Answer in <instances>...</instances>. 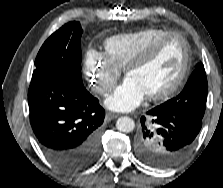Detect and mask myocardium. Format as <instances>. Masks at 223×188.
<instances>
[{
  "instance_id": "obj_1",
  "label": "myocardium",
  "mask_w": 223,
  "mask_h": 188,
  "mask_svg": "<svg viewBox=\"0 0 223 188\" xmlns=\"http://www.w3.org/2000/svg\"><path fill=\"white\" fill-rule=\"evenodd\" d=\"M171 37H178L183 42L185 49L183 65L178 77L170 86H168L167 88L163 89L160 92L150 94L147 96V99L150 101H162L169 99L174 95H176L185 84L190 72L191 61H192L191 47L187 38L180 32L169 31L159 36L152 43H150L148 46L142 49L124 68V73L126 76H128L133 69L137 68L138 66L148 61L159 49V47Z\"/></svg>"
}]
</instances>
